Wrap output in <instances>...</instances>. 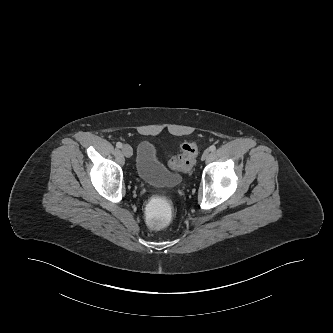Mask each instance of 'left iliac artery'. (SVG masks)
Here are the masks:
<instances>
[{
	"label": "left iliac artery",
	"instance_id": "44dca946",
	"mask_svg": "<svg viewBox=\"0 0 333 333\" xmlns=\"http://www.w3.org/2000/svg\"><path fill=\"white\" fill-rule=\"evenodd\" d=\"M209 150H210L211 152L215 151V150H216V146H215V145H211V146L209 147Z\"/></svg>",
	"mask_w": 333,
	"mask_h": 333
}]
</instances>
